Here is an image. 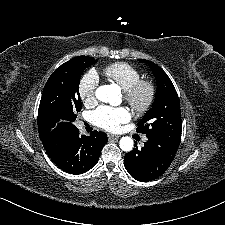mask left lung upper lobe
I'll list each match as a JSON object with an SVG mask.
<instances>
[{"mask_svg": "<svg viewBox=\"0 0 225 225\" xmlns=\"http://www.w3.org/2000/svg\"><path fill=\"white\" fill-rule=\"evenodd\" d=\"M147 63L157 81V92L152 108L138 122L137 132L147 137H161L179 144L181 140L182 121L180 102L173 83L157 64Z\"/></svg>", "mask_w": 225, "mask_h": 225, "instance_id": "left-lung-upper-lobe-1", "label": "left lung upper lobe"}]
</instances>
